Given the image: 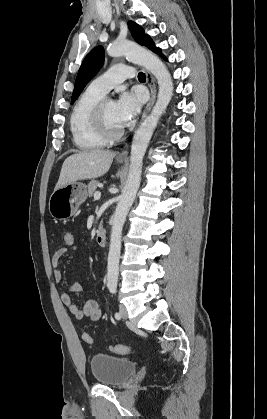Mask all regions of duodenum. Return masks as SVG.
<instances>
[{"instance_id": "410a0bca", "label": "duodenum", "mask_w": 267, "mask_h": 419, "mask_svg": "<svg viewBox=\"0 0 267 419\" xmlns=\"http://www.w3.org/2000/svg\"><path fill=\"white\" fill-rule=\"evenodd\" d=\"M106 231L104 229H99L96 233V243L99 246H104L106 244Z\"/></svg>"}]
</instances>
